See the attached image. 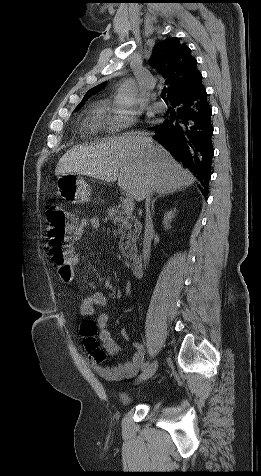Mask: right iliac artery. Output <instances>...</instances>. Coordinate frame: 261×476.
Returning <instances> with one entry per match:
<instances>
[{"instance_id": "right-iliac-artery-1", "label": "right iliac artery", "mask_w": 261, "mask_h": 476, "mask_svg": "<svg viewBox=\"0 0 261 476\" xmlns=\"http://www.w3.org/2000/svg\"><path fill=\"white\" fill-rule=\"evenodd\" d=\"M148 366H149V363H148V362H146V363H144V364H143V366H142V368H141V369H142V370H144V369H145V368H147Z\"/></svg>"}]
</instances>
